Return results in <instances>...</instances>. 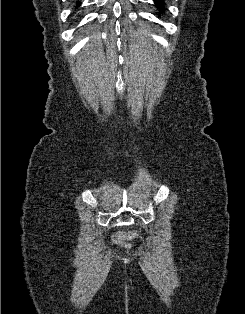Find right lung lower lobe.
<instances>
[{"mask_svg":"<svg viewBox=\"0 0 245 314\" xmlns=\"http://www.w3.org/2000/svg\"><path fill=\"white\" fill-rule=\"evenodd\" d=\"M78 6L80 5V2H77Z\"/></svg>","mask_w":245,"mask_h":314,"instance_id":"obj_1","label":"right lung lower lobe"}]
</instances>
